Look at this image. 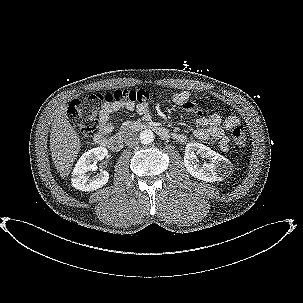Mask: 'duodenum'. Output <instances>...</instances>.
<instances>
[{
  "label": "duodenum",
  "instance_id": "410a0bca",
  "mask_svg": "<svg viewBox=\"0 0 303 303\" xmlns=\"http://www.w3.org/2000/svg\"><path fill=\"white\" fill-rule=\"evenodd\" d=\"M132 128L135 130L154 131L162 139L170 138V133L168 130L160 126H152L151 124L146 122L133 123ZM99 143L114 152H119L123 148V139L121 137H114L109 139L104 138Z\"/></svg>",
  "mask_w": 303,
  "mask_h": 303
}]
</instances>
